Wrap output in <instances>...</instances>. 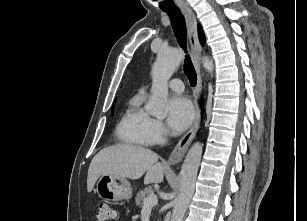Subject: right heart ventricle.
I'll use <instances>...</instances> for the list:
<instances>
[{
	"mask_svg": "<svg viewBox=\"0 0 307 221\" xmlns=\"http://www.w3.org/2000/svg\"><path fill=\"white\" fill-rule=\"evenodd\" d=\"M151 117L142 108V98L133 97L116 127V137L119 142L145 147L152 144Z\"/></svg>",
	"mask_w": 307,
	"mask_h": 221,
	"instance_id": "obj_1",
	"label": "right heart ventricle"
}]
</instances>
